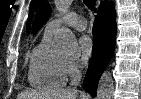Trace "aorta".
Instances as JSON below:
<instances>
[{
    "label": "aorta",
    "mask_w": 141,
    "mask_h": 99,
    "mask_svg": "<svg viewBox=\"0 0 141 99\" xmlns=\"http://www.w3.org/2000/svg\"><path fill=\"white\" fill-rule=\"evenodd\" d=\"M72 0H56L58 10L66 11ZM56 50L62 54H73L78 50L76 37L69 29H64L56 37ZM114 81L109 71H104L99 79L97 88V99H112Z\"/></svg>",
    "instance_id": "1"
}]
</instances>
